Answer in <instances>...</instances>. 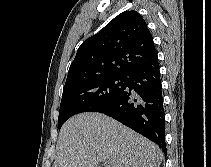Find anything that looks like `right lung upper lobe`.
Here are the masks:
<instances>
[{"label": "right lung upper lobe", "instance_id": "1", "mask_svg": "<svg viewBox=\"0 0 211 167\" xmlns=\"http://www.w3.org/2000/svg\"><path fill=\"white\" fill-rule=\"evenodd\" d=\"M156 56L152 35L142 16L136 11L122 12L81 44L64 88L99 77L124 76Z\"/></svg>", "mask_w": 211, "mask_h": 167}]
</instances>
